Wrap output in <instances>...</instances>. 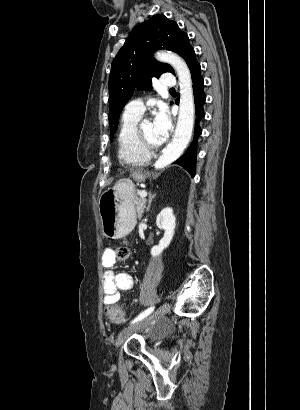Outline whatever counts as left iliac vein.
Returning <instances> with one entry per match:
<instances>
[{
	"mask_svg": "<svg viewBox=\"0 0 300 410\" xmlns=\"http://www.w3.org/2000/svg\"><path fill=\"white\" fill-rule=\"evenodd\" d=\"M170 309H171V305L169 303H165L160 308H158L153 314L125 328L123 331L120 332V334L118 335L116 339V342H115L116 349H118L124 343V341L129 336H131L133 333L145 327L150 322L155 321L159 319L160 317H162L163 315L167 314L170 311Z\"/></svg>",
	"mask_w": 300,
	"mask_h": 410,
	"instance_id": "4c4485c4",
	"label": "left iliac vein"
}]
</instances>
